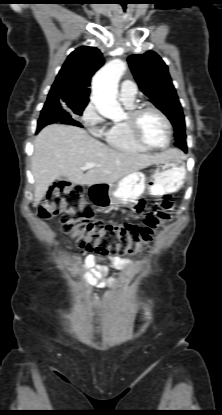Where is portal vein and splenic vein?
<instances>
[{
  "mask_svg": "<svg viewBox=\"0 0 222 415\" xmlns=\"http://www.w3.org/2000/svg\"><path fill=\"white\" fill-rule=\"evenodd\" d=\"M96 166H97L96 163H88L85 166H83L81 169L82 170H88V169H91V168L96 167Z\"/></svg>",
  "mask_w": 222,
  "mask_h": 415,
  "instance_id": "18ae733b",
  "label": "portal vein and splenic vein"
}]
</instances>
